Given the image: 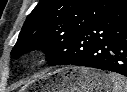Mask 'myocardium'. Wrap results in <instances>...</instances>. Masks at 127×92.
<instances>
[{
    "label": "myocardium",
    "instance_id": "myocardium-1",
    "mask_svg": "<svg viewBox=\"0 0 127 92\" xmlns=\"http://www.w3.org/2000/svg\"><path fill=\"white\" fill-rule=\"evenodd\" d=\"M40 55L36 51L28 52L24 55V61L26 63H35L37 60H39Z\"/></svg>",
    "mask_w": 127,
    "mask_h": 92
}]
</instances>
